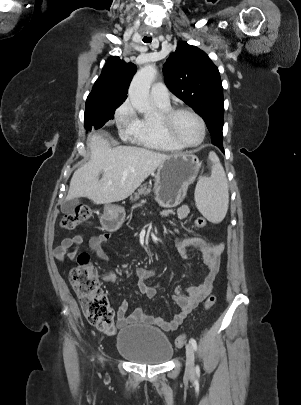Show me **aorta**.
<instances>
[{
  "mask_svg": "<svg viewBox=\"0 0 301 405\" xmlns=\"http://www.w3.org/2000/svg\"><path fill=\"white\" fill-rule=\"evenodd\" d=\"M156 74L155 65H145L135 74L131 81L129 98L133 107L141 113L149 114L152 111L149 91Z\"/></svg>",
  "mask_w": 301,
  "mask_h": 405,
  "instance_id": "762f6f07",
  "label": "aorta"
}]
</instances>
